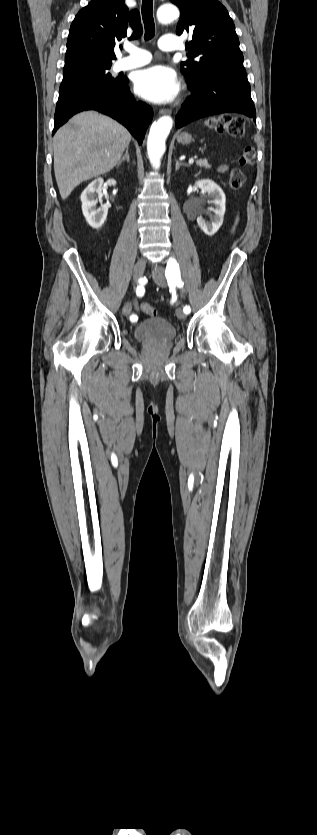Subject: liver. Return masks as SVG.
Here are the masks:
<instances>
[{
    "label": "liver",
    "mask_w": 317,
    "mask_h": 835,
    "mask_svg": "<svg viewBox=\"0 0 317 835\" xmlns=\"http://www.w3.org/2000/svg\"><path fill=\"white\" fill-rule=\"evenodd\" d=\"M130 141L124 126L96 111L71 118L54 135V172L61 198L81 182L112 170Z\"/></svg>",
    "instance_id": "6515ba94"
}]
</instances>
